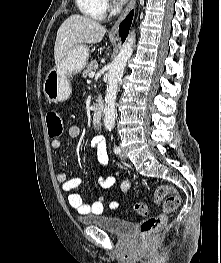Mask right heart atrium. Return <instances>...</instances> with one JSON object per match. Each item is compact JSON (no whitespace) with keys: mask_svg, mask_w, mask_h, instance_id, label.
I'll return each instance as SVG.
<instances>
[{"mask_svg":"<svg viewBox=\"0 0 221 263\" xmlns=\"http://www.w3.org/2000/svg\"><path fill=\"white\" fill-rule=\"evenodd\" d=\"M106 7H111L112 4L109 0H104Z\"/></svg>","mask_w":221,"mask_h":263,"instance_id":"right-heart-atrium-1","label":"right heart atrium"}]
</instances>
